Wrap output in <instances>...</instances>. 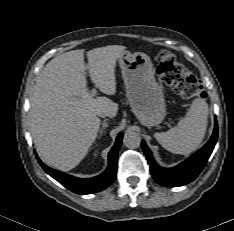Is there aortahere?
Listing matches in <instances>:
<instances>
[{"instance_id":"762f6f07","label":"aorta","mask_w":234,"mask_h":231,"mask_svg":"<svg viewBox=\"0 0 234 231\" xmlns=\"http://www.w3.org/2000/svg\"><path fill=\"white\" fill-rule=\"evenodd\" d=\"M141 137L139 133L128 130L123 138V144L129 149H136L140 146Z\"/></svg>"}]
</instances>
